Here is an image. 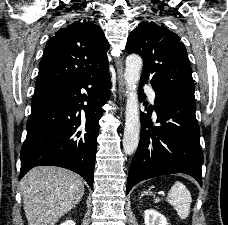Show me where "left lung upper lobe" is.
Listing matches in <instances>:
<instances>
[{
    "label": "left lung upper lobe",
    "mask_w": 228,
    "mask_h": 225,
    "mask_svg": "<svg viewBox=\"0 0 228 225\" xmlns=\"http://www.w3.org/2000/svg\"><path fill=\"white\" fill-rule=\"evenodd\" d=\"M125 48L143 59L141 83L150 80L157 94L195 103L192 69L178 35L155 22H141Z\"/></svg>",
    "instance_id": "1"
}]
</instances>
